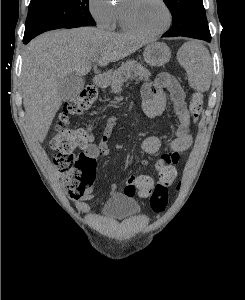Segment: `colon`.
<instances>
[{
	"mask_svg": "<svg viewBox=\"0 0 245 300\" xmlns=\"http://www.w3.org/2000/svg\"><path fill=\"white\" fill-rule=\"evenodd\" d=\"M97 89L88 85L74 98L69 100L60 116L51 139V147L58 152L55 164L59 169L63 185L71 198L81 197L92 185L96 176V159L88 157L83 153L75 155L76 148H83L87 143L88 132L86 129H69L70 115L83 114L96 100ZM202 110V98L199 93L192 96L190 112L197 121ZM154 182L151 177L141 175L136 181V190L142 197L150 198L153 211L163 212L168 201V188L165 190H154Z\"/></svg>",
	"mask_w": 245,
	"mask_h": 300,
	"instance_id": "5ec220e1",
	"label": "colon"
}]
</instances>
